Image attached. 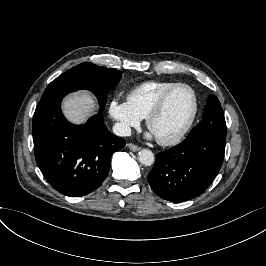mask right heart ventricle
I'll list each match as a JSON object with an SVG mask.
<instances>
[{
	"label": "right heart ventricle",
	"mask_w": 266,
	"mask_h": 266,
	"mask_svg": "<svg viewBox=\"0 0 266 266\" xmlns=\"http://www.w3.org/2000/svg\"><path fill=\"white\" fill-rule=\"evenodd\" d=\"M177 84L175 81H147L130 91L128 101L143 119L163 92Z\"/></svg>",
	"instance_id": "obj_1"
}]
</instances>
